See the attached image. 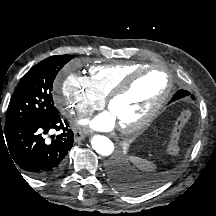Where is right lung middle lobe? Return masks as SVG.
I'll use <instances>...</instances> for the list:
<instances>
[{
  "label": "right lung middle lobe",
  "instance_id": "1",
  "mask_svg": "<svg viewBox=\"0 0 216 216\" xmlns=\"http://www.w3.org/2000/svg\"><path fill=\"white\" fill-rule=\"evenodd\" d=\"M72 58V55L51 56L24 75L11 97L5 126L59 115L51 93L53 82L59 70Z\"/></svg>",
  "mask_w": 216,
  "mask_h": 216
}]
</instances>
